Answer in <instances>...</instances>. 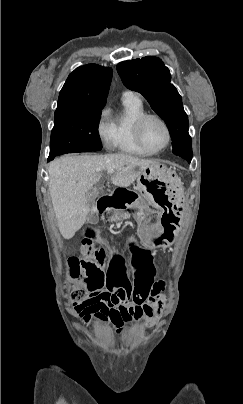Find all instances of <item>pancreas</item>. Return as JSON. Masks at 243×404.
<instances>
[{
	"mask_svg": "<svg viewBox=\"0 0 243 404\" xmlns=\"http://www.w3.org/2000/svg\"><path fill=\"white\" fill-rule=\"evenodd\" d=\"M123 217L127 219L128 214H122V216H120L119 212H114L113 216L110 218V222H118V220L123 219Z\"/></svg>",
	"mask_w": 243,
	"mask_h": 404,
	"instance_id": "cf45deb5",
	"label": "pancreas"
}]
</instances>
